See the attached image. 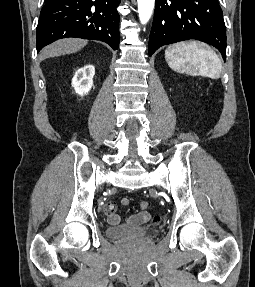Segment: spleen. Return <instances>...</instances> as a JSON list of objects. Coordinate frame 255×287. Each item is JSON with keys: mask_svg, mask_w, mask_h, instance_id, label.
<instances>
[{"mask_svg": "<svg viewBox=\"0 0 255 287\" xmlns=\"http://www.w3.org/2000/svg\"><path fill=\"white\" fill-rule=\"evenodd\" d=\"M165 60L172 70H184L185 66L199 72L200 76L218 80L222 64L217 54L201 42H179L165 50Z\"/></svg>", "mask_w": 255, "mask_h": 287, "instance_id": "spleen-1", "label": "spleen"}]
</instances>
